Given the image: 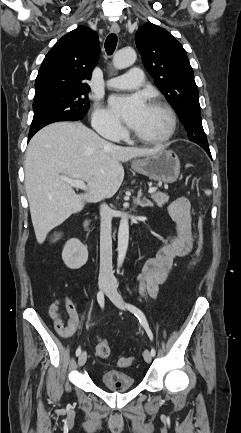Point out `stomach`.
<instances>
[{
  "mask_svg": "<svg viewBox=\"0 0 241 433\" xmlns=\"http://www.w3.org/2000/svg\"><path fill=\"white\" fill-rule=\"evenodd\" d=\"M132 168L151 180L174 183L180 174V161L173 151L163 148L149 157L133 161Z\"/></svg>",
  "mask_w": 241,
  "mask_h": 433,
  "instance_id": "obj_1",
  "label": "stomach"
}]
</instances>
